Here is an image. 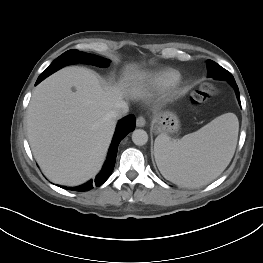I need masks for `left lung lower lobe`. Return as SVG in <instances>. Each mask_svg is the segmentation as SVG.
I'll use <instances>...</instances> for the list:
<instances>
[{
    "mask_svg": "<svg viewBox=\"0 0 263 263\" xmlns=\"http://www.w3.org/2000/svg\"><path fill=\"white\" fill-rule=\"evenodd\" d=\"M219 65L213 61L209 62L208 63V76L210 77H215L216 76V71L215 69L218 67ZM230 84H232V86L234 87L235 89V92H236V95H237V98H238V101L240 102V94H239V90H238V86L236 84L235 81L233 82H230Z\"/></svg>",
    "mask_w": 263,
    "mask_h": 263,
    "instance_id": "left-lung-lower-lobe-1",
    "label": "left lung lower lobe"
}]
</instances>
